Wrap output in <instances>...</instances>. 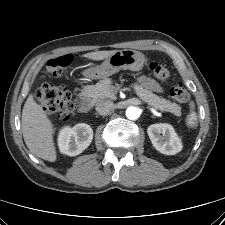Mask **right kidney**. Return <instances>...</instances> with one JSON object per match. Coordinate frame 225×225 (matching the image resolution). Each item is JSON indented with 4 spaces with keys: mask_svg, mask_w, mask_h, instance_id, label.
<instances>
[{
    "mask_svg": "<svg viewBox=\"0 0 225 225\" xmlns=\"http://www.w3.org/2000/svg\"><path fill=\"white\" fill-rule=\"evenodd\" d=\"M93 130L85 123L63 127L58 136L60 152L68 156L82 153L92 142Z\"/></svg>",
    "mask_w": 225,
    "mask_h": 225,
    "instance_id": "obj_1",
    "label": "right kidney"
}]
</instances>
